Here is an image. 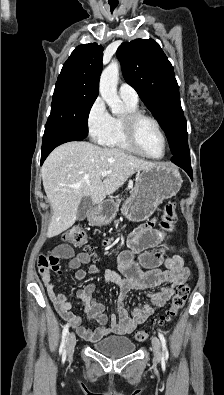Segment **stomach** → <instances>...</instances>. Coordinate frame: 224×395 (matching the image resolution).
Here are the masks:
<instances>
[{
    "label": "stomach",
    "mask_w": 224,
    "mask_h": 395,
    "mask_svg": "<svg viewBox=\"0 0 224 395\" xmlns=\"http://www.w3.org/2000/svg\"><path fill=\"white\" fill-rule=\"evenodd\" d=\"M182 178L178 168L160 163L144 169L136 177L131 196L123 203L121 212L129 220L141 222L148 219L165 199L175 196L181 188ZM117 208L111 201L98 205L90 215V222L97 226L109 224L116 216Z\"/></svg>",
    "instance_id": "stomach-1"
}]
</instances>
